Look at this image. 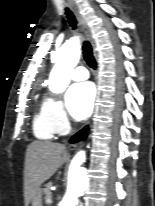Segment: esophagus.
Masks as SVG:
<instances>
[{"label": "esophagus", "mask_w": 155, "mask_h": 206, "mask_svg": "<svg viewBox=\"0 0 155 206\" xmlns=\"http://www.w3.org/2000/svg\"><path fill=\"white\" fill-rule=\"evenodd\" d=\"M69 5L70 7L72 8L73 12L75 13L78 21H79V24L83 30V32L85 33L86 37L88 38V40L93 43V38H92V33L90 31V28L86 22V20L84 19V17L82 16V14L80 13L77 5L72 2L71 0H69ZM75 146H71V148H74Z\"/></svg>", "instance_id": "34e87169"}]
</instances>
